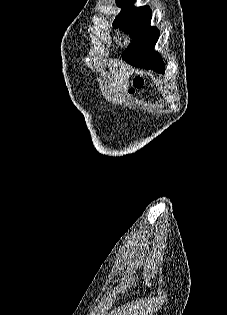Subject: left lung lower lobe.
Returning <instances> with one entry per match:
<instances>
[{"instance_id":"left-lung-lower-lobe-1","label":"left lung lower lobe","mask_w":227,"mask_h":315,"mask_svg":"<svg viewBox=\"0 0 227 315\" xmlns=\"http://www.w3.org/2000/svg\"><path fill=\"white\" fill-rule=\"evenodd\" d=\"M156 41L150 39H144L137 45L131 47L128 52L127 60L129 64L143 69H152L159 73H164V63L156 51L154 46Z\"/></svg>"}]
</instances>
